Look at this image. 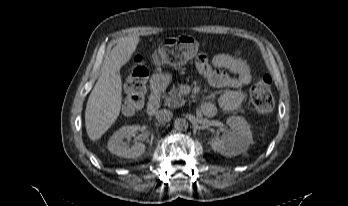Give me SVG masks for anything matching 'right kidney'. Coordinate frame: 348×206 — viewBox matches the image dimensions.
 I'll list each match as a JSON object with an SVG mask.
<instances>
[{"mask_svg":"<svg viewBox=\"0 0 348 206\" xmlns=\"http://www.w3.org/2000/svg\"><path fill=\"white\" fill-rule=\"evenodd\" d=\"M140 128L138 126H123L117 130L108 141V150L123 158H138L145 152V145L142 142H136L129 146L124 139H130L136 135Z\"/></svg>","mask_w":348,"mask_h":206,"instance_id":"right-kidney-1","label":"right kidney"}]
</instances>
